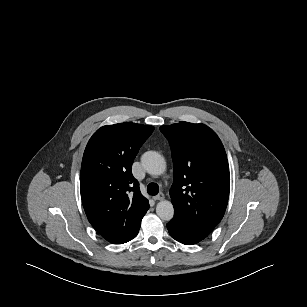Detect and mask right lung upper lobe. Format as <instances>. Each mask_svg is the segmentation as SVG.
<instances>
[{"label":"right lung upper lobe","mask_w":307,"mask_h":307,"mask_svg":"<svg viewBox=\"0 0 307 307\" xmlns=\"http://www.w3.org/2000/svg\"><path fill=\"white\" fill-rule=\"evenodd\" d=\"M153 126L126 122L103 126L84 151L80 190L91 225L107 241L123 244L138 234L149 209L131 166Z\"/></svg>","instance_id":"right-lung-upper-lobe-1"}]
</instances>
